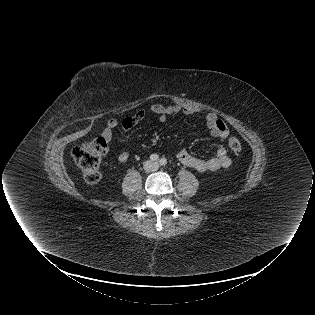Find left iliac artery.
<instances>
[{"mask_svg": "<svg viewBox=\"0 0 315 315\" xmlns=\"http://www.w3.org/2000/svg\"><path fill=\"white\" fill-rule=\"evenodd\" d=\"M159 163H160L161 165H166V164H167V160H166L165 158H161L160 161H159Z\"/></svg>", "mask_w": 315, "mask_h": 315, "instance_id": "left-iliac-artery-1", "label": "left iliac artery"}]
</instances>
